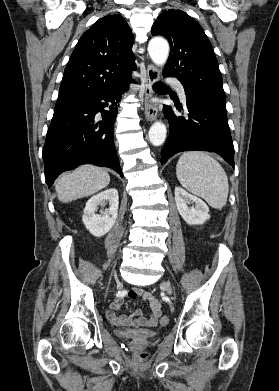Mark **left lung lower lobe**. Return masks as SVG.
Listing matches in <instances>:
<instances>
[{"mask_svg": "<svg viewBox=\"0 0 279 391\" xmlns=\"http://www.w3.org/2000/svg\"><path fill=\"white\" fill-rule=\"evenodd\" d=\"M185 95L186 115H176L170 106H163L170 121V132L161 152V163L178 152L204 150L218 153L234 168V147L226 108L196 94L185 91Z\"/></svg>", "mask_w": 279, "mask_h": 391, "instance_id": "obj_1", "label": "left lung lower lobe"}]
</instances>
